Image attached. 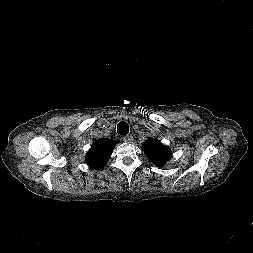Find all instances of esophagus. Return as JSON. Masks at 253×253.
Segmentation results:
<instances>
[{
	"label": "esophagus",
	"instance_id": "obj_1",
	"mask_svg": "<svg viewBox=\"0 0 253 253\" xmlns=\"http://www.w3.org/2000/svg\"><path fill=\"white\" fill-rule=\"evenodd\" d=\"M122 139L127 143H131L133 141V137L131 135L124 136Z\"/></svg>",
	"mask_w": 253,
	"mask_h": 253
}]
</instances>
